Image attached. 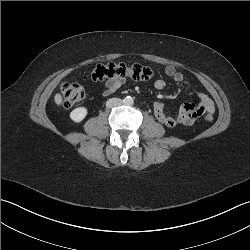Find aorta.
<instances>
[{
    "instance_id": "obj_1",
    "label": "aorta",
    "mask_w": 250,
    "mask_h": 250,
    "mask_svg": "<svg viewBox=\"0 0 250 250\" xmlns=\"http://www.w3.org/2000/svg\"><path fill=\"white\" fill-rule=\"evenodd\" d=\"M124 104L130 106L134 103V99L131 96H127L123 100Z\"/></svg>"
}]
</instances>
